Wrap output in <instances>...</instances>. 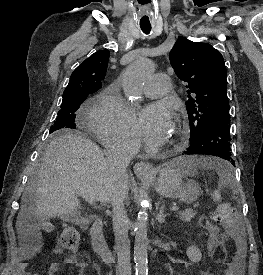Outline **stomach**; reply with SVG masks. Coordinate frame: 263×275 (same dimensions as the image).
Instances as JSON below:
<instances>
[{
	"label": "stomach",
	"instance_id": "0dacf381",
	"mask_svg": "<svg viewBox=\"0 0 263 275\" xmlns=\"http://www.w3.org/2000/svg\"><path fill=\"white\" fill-rule=\"evenodd\" d=\"M156 191L165 197L178 198L181 202L190 203L198 196V190L185 185L177 171L176 161L166 165L159 172L155 181Z\"/></svg>",
	"mask_w": 263,
	"mask_h": 275
}]
</instances>
